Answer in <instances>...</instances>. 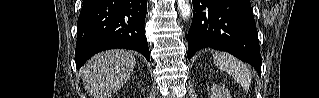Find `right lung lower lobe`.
<instances>
[{"label":"right lung lower lobe","mask_w":319,"mask_h":98,"mask_svg":"<svg viewBox=\"0 0 319 98\" xmlns=\"http://www.w3.org/2000/svg\"><path fill=\"white\" fill-rule=\"evenodd\" d=\"M146 0H84L78 19L76 67L106 49L126 48L150 61L144 32Z\"/></svg>","instance_id":"98d812e1"}]
</instances>
